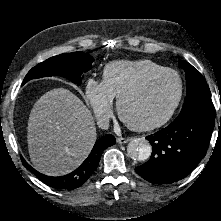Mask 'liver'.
Wrapping results in <instances>:
<instances>
[{
  "mask_svg": "<svg viewBox=\"0 0 221 221\" xmlns=\"http://www.w3.org/2000/svg\"><path fill=\"white\" fill-rule=\"evenodd\" d=\"M28 150L36 170L62 176L76 169L96 141L90 110L72 92L55 88L34 104L28 119Z\"/></svg>",
  "mask_w": 221,
  "mask_h": 221,
  "instance_id": "liver-1",
  "label": "liver"
}]
</instances>
